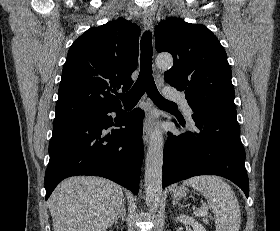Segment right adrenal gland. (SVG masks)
<instances>
[{"label":"right adrenal gland","instance_id":"right-adrenal-gland-1","mask_svg":"<svg viewBox=\"0 0 280 231\" xmlns=\"http://www.w3.org/2000/svg\"><path fill=\"white\" fill-rule=\"evenodd\" d=\"M125 215H126V207H125L124 203H122L121 209H120V211H118V213L114 219V223H119V219H122V221H124Z\"/></svg>","mask_w":280,"mask_h":231}]
</instances>
